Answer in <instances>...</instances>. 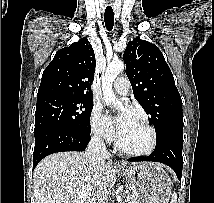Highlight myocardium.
<instances>
[{"label":"myocardium","mask_w":214,"mask_h":203,"mask_svg":"<svg viewBox=\"0 0 214 203\" xmlns=\"http://www.w3.org/2000/svg\"><path fill=\"white\" fill-rule=\"evenodd\" d=\"M141 124L148 130L149 134H150V142L149 145L143 149V150H130L125 148L120 141V132L117 135V139H116V147L117 149L128 155V156H133V157H142V156H147L149 154H151L157 145V133L156 130L144 119H138Z\"/></svg>","instance_id":"obj_1"}]
</instances>
